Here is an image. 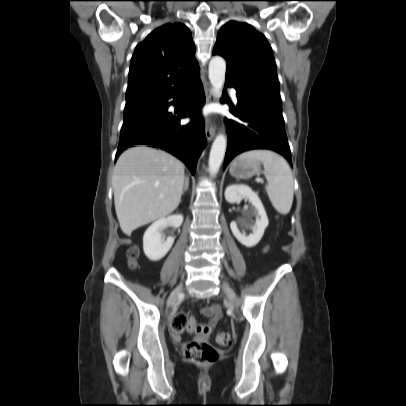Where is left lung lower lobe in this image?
Instances as JSON below:
<instances>
[{
    "label": "left lung lower lobe",
    "mask_w": 406,
    "mask_h": 406,
    "mask_svg": "<svg viewBox=\"0 0 406 406\" xmlns=\"http://www.w3.org/2000/svg\"><path fill=\"white\" fill-rule=\"evenodd\" d=\"M226 87H234L237 90L238 104L236 108L231 106L230 112L239 121L225 119L228 126V147L224 169L236 155L252 149L278 152L292 166L281 103L249 95L231 82L226 81Z\"/></svg>",
    "instance_id": "1"
}]
</instances>
